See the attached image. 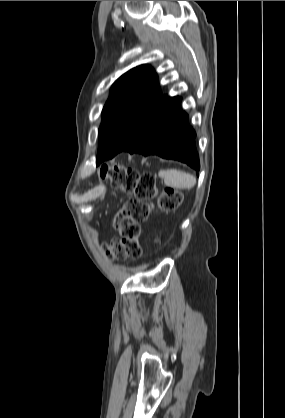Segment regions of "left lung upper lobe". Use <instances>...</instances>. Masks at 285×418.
Wrapping results in <instances>:
<instances>
[{"label": "left lung upper lobe", "instance_id": "1", "mask_svg": "<svg viewBox=\"0 0 285 418\" xmlns=\"http://www.w3.org/2000/svg\"><path fill=\"white\" fill-rule=\"evenodd\" d=\"M165 98L149 65L137 66L119 77L102 111L96 165L123 151ZM105 151L109 156L99 158Z\"/></svg>", "mask_w": 285, "mask_h": 418}]
</instances>
